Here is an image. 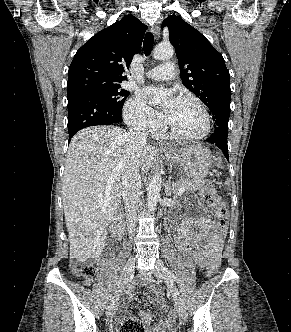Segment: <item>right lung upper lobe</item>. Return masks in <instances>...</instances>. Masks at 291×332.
Segmentation results:
<instances>
[{
    "label": "right lung upper lobe",
    "instance_id": "1",
    "mask_svg": "<svg viewBox=\"0 0 291 332\" xmlns=\"http://www.w3.org/2000/svg\"><path fill=\"white\" fill-rule=\"evenodd\" d=\"M147 27L127 15L89 39L69 67L67 97L90 89L121 85L133 56L139 53Z\"/></svg>",
    "mask_w": 291,
    "mask_h": 332
}]
</instances>
